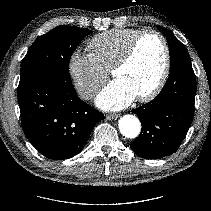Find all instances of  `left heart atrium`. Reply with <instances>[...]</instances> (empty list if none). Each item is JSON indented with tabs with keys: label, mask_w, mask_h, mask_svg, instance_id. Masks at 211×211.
Returning a JSON list of instances; mask_svg holds the SVG:
<instances>
[{
	"label": "left heart atrium",
	"mask_w": 211,
	"mask_h": 211,
	"mask_svg": "<svg viewBox=\"0 0 211 211\" xmlns=\"http://www.w3.org/2000/svg\"><path fill=\"white\" fill-rule=\"evenodd\" d=\"M136 94L124 82L114 79L97 96V105L106 111H115L129 106Z\"/></svg>",
	"instance_id": "1"
}]
</instances>
